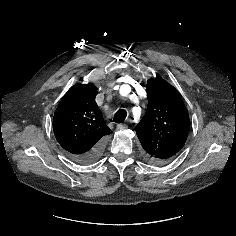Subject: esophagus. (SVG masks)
<instances>
[{
  "instance_id": "1",
  "label": "esophagus",
  "mask_w": 236,
  "mask_h": 236,
  "mask_svg": "<svg viewBox=\"0 0 236 236\" xmlns=\"http://www.w3.org/2000/svg\"><path fill=\"white\" fill-rule=\"evenodd\" d=\"M127 128V125L126 124H118L117 125V130L121 131V130H124Z\"/></svg>"
}]
</instances>
